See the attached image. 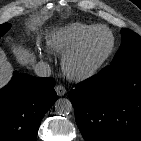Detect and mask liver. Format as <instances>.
Wrapping results in <instances>:
<instances>
[{
    "mask_svg": "<svg viewBox=\"0 0 141 141\" xmlns=\"http://www.w3.org/2000/svg\"><path fill=\"white\" fill-rule=\"evenodd\" d=\"M30 28H32V26H30ZM14 54L16 55L18 62L23 66L33 64L35 62L33 54L28 49L21 46L14 47ZM11 72V65L7 61L5 53L0 50V88L9 82Z\"/></svg>",
    "mask_w": 141,
    "mask_h": 141,
    "instance_id": "6515ba94",
    "label": "liver"
}]
</instances>
